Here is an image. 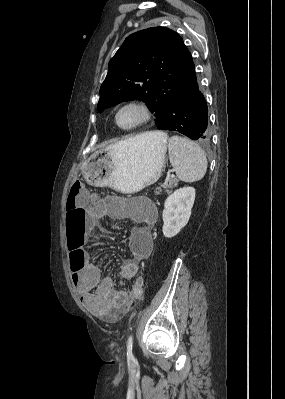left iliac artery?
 Returning <instances> with one entry per match:
<instances>
[{"label": "left iliac artery", "mask_w": 285, "mask_h": 399, "mask_svg": "<svg viewBox=\"0 0 285 399\" xmlns=\"http://www.w3.org/2000/svg\"><path fill=\"white\" fill-rule=\"evenodd\" d=\"M132 348H133V337L132 335L129 336L128 342H127V356L131 357L132 356Z\"/></svg>", "instance_id": "1"}]
</instances>
